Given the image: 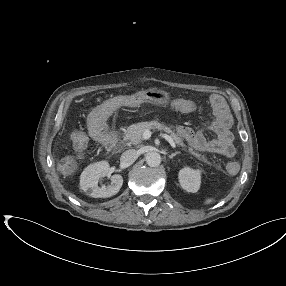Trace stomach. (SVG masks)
I'll list each match as a JSON object with an SVG mask.
<instances>
[{
  "instance_id": "obj_1",
  "label": "stomach",
  "mask_w": 286,
  "mask_h": 286,
  "mask_svg": "<svg viewBox=\"0 0 286 286\" xmlns=\"http://www.w3.org/2000/svg\"><path fill=\"white\" fill-rule=\"evenodd\" d=\"M139 95L145 102L154 105H165L170 100V96L167 92L155 88L142 91Z\"/></svg>"
}]
</instances>
